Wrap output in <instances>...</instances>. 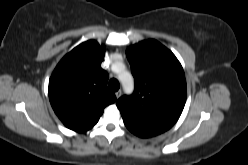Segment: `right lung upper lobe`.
Returning a JSON list of instances; mask_svg holds the SVG:
<instances>
[{"label": "right lung upper lobe", "mask_w": 248, "mask_h": 165, "mask_svg": "<svg viewBox=\"0 0 248 165\" xmlns=\"http://www.w3.org/2000/svg\"><path fill=\"white\" fill-rule=\"evenodd\" d=\"M104 46L86 41L58 63L49 80V99L62 123L82 133L99 120L116 96L107 88L108 74L101 68Z\"/></svg>", "instance_id": "1"}]
</instances>
